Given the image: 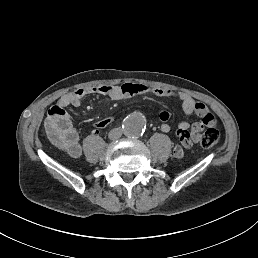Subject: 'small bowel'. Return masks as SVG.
<instances>
[{"label": "small bowel", "mask_w": 258, "mask_h": 258, "mask_svg": "<svg viewBox=\"0 0 258 258\" xmlns=\"http://www.w3.org/2000/svg\"><path fill=\"white\" fill-rule=\"evenodd\" d=\"M154 94L159 97H174L181 102L183 112L186 116L196 115L199 121L192 125L188 120L181 121L177 126L176 135L181 145L173 148V154L181 158L184 154V148H190L198 143L201 138V132L206 127H215L217 121L210 113L208 107L195 100L189 94L184 92H175L168 88L150 87L139 83H123L121 85H101L77 89L71 93L62 96L49 111L45 121V128L50 141L59 149L67 152L71 157L78 158L82 154V148L79 142L78 132L71 124L66 109L70 106L79 107L82 99L90 94L106 95L112 100H121L139 94ZM169 111L163 109L159 113L162 121L161 130L165 133L170 132L171 127L168 124L170 119ZM114 121V117L108 116L95 122L94 133L109 126Z\"/></svg>", "instance_id": "small-bowel-1"}]
</instances>
